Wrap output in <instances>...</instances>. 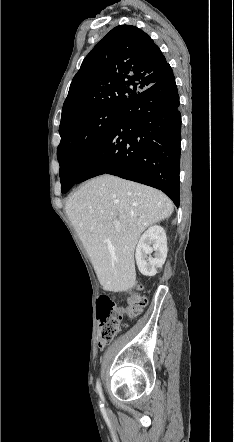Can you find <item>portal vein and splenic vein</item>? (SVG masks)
<instances>
[{
    "instance_id": "obj_1",
    "label": "portal vein and splenic vein",
    "mask_w": 234,
    "mask_h": 442,
    "mask_svg": "<svg viewBox=\"0 0 234 442\" xmlns=\"http://www.w3.org/2000/svg\"><path fill=\"white\" fill-rule=\"evenodd\" d=\"M115 227H116L117 229L120 228V225H119L118 222H115Z\"/></svg>"
}]
</instances>
